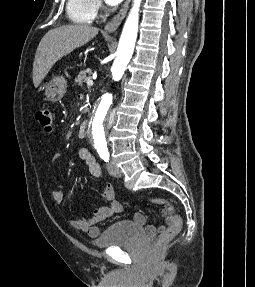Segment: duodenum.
<instances>
[{
	"instance_id": "obj_1",
	"label": "duodenum",
	"mask_w": 255,
	"mask_h": 287,
	"mask_svg": "<svg viewBox=\"0 0 255 287\" xmlns=\"http://www.w3.org/2000/svg\"><path fill=\"white\" fill-rule=\"evenodd\" d=\"M87 127H88V124H87V121H83L80 125H79V128H78V136L80 138H85L87 136Z\"/></svg>"
}]
</instances>
